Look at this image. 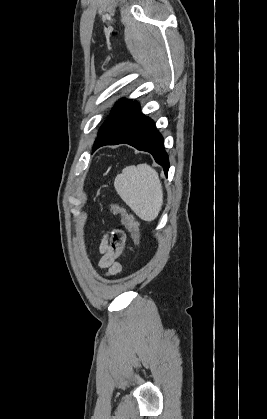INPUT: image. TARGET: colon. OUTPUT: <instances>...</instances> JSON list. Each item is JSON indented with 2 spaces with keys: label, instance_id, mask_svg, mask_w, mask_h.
Here are the masks:
<instances>
[{
  "label": "colon",
  "instance_id": "1",
  "mask_svg": "<svg viewBox=\"0 0 267 419\" xmlns=\"http://www.w3.org/2000/svg\"><path fill=\"white\" fill-rule=\"evenodd\" d=\"M107 208L113 214L120 216L122 223L130 231L135 246L139 247L140 240H141V234H140V230H139V224L135 220V218L130 213H128V211L124 207H122L119 204L108 203Z\"/></svg>",
  "mask_w": 267,
  "mask_h": 419
}]
</instances>
